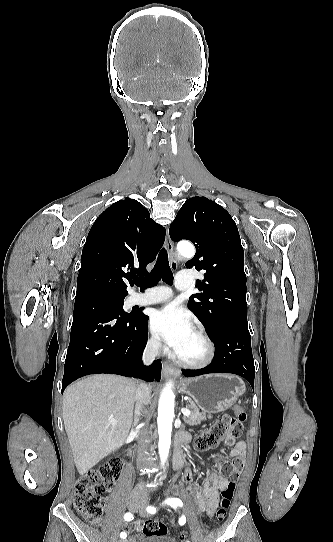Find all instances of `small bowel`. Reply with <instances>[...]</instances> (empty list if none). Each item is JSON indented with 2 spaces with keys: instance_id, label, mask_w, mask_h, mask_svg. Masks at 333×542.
<instances>
[{
  "instance_id": "c3829d8e",
  "label": "small bowel",
  "mask_w": 333,
  "mask_h": 542,
  "mask_svg": "<svg viewBox=\"0 0 333 542\" xmlns=\"http://www.w3.org/2000/svg\"><path fill=\"white\" fill-rule=\"evenodd\" d=\"M182 435L188 436L187 438L183 439V444H187L190 441L191 436L189 434ZM224 443L226 446L232 447L230 451V456L232 458L243 459L246 449V442L244 440H237L232 436H227L225 437ZM180 448L181 445H179V449ZM191 477L192 472L190 467H188L181 476V482L188 483L190 482ZM236 481L237 480L233 478L227 479L226 477L219 475L216 470H211L202 487H200L195 493L197 510L200 512H205L209 516H213L219 503L220 491L225 489L230 484L235 485ZM123 527L126 531L139 532L141 529V523L138 521L134 523H125ZM127 542H136V538L131 536L128 538Z\"/></svg>"
}]
</instances>
